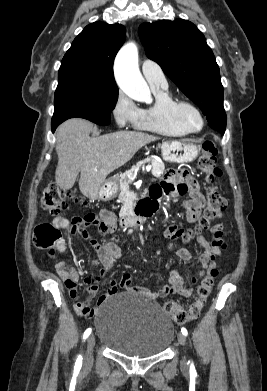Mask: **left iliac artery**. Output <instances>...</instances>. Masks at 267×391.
Listing matches in <instances>:
<instances>
[{
  "label": "left iliac artery",
  "mask_w": 267,
  "mask_h": 391,
  "mask_svg": "<svg viewBox=\"0 0 267 391\" xmlns=\"http://www.w3.org/2000/svg\"><path fill=\"white\" fill-rule=\"evenodd\" d=\"M181 332H182L184 335H187V333H188L187 330H186L185 328H182V329H181ZM190 368H191L192 371H194V366H193V365H191Z\"/></svg>",
  "instance_id": "obj_1"
}]
</instances>
